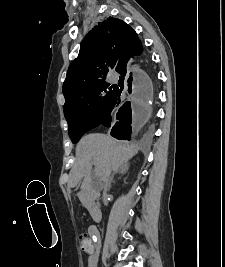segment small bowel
<instances>
[{"label":"small bowel","instance_id":"1","mask_svg":"<svg viewBox=\"0 0 225 267\" xmlns=\"http://www.w3.org/2000/svg\"><path fill=\"white\" fill-rule=\"evenodd\" d=\"M88 232L94 241L99 238V233L95 227H90ZM90 241H91V239H90ZM91 243H92V241H91ZM86 253H88V255H89V258H88L89 267H95L98 256H97V253L95 252V246L93 245V243H92V250L90 252H86Z\"/></svg>","mask_w":225,"mask_h":267}]
</instances>
